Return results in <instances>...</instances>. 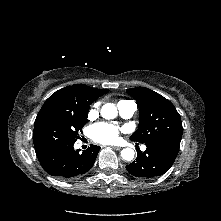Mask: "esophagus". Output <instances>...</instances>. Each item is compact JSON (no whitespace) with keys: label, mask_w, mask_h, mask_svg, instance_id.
<instances>
[{"label":"esophagus","mask_w":221,"mask_h":221,"mask_svg":"<svg viewBox=\"0 0 221 221\" xmlns=\"http://www.w3.org/2000/svg\"><path fill=\"white\" fill-rule=\"evenodd\" d=\"M112 149H114V150H120L121 147H119V146H112Z\"/></svg>","instance_id":"esophagus-1"}]
</instances>
